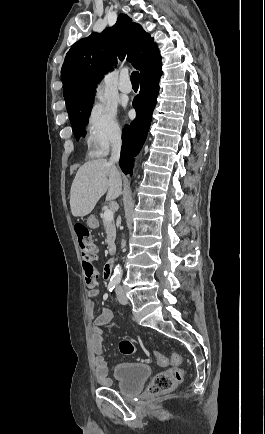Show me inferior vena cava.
<instances>
[{"mask_svg":"<svg viewBox=\"0 0 265 434\" xmlns=\"http://www.w3.org/2000/svg\"><path fill=\"white\" fill-rule=\"evenodd\" d=\"M121 152V140H112V152L110 162L115 164V162H119Z\"/></svg>","mask_w":265,"mask_h":434,"instance_id":"obj_1","label":"inferior vena cava"}]
</instances>
